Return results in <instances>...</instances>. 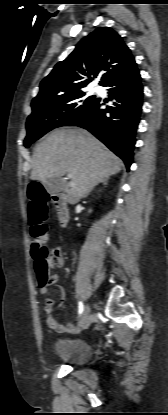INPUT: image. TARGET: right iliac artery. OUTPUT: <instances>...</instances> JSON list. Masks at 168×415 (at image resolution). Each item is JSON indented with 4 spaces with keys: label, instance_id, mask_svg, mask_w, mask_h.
Masks as SVG:
<instances>
[{
    "label": "right iliac artery",
    "instance_id": "1",
    "mask_svg": "<svg viewBox=\"0 0 168 415\" xmlns=\"http://www.w3.org/2000/svg\"><path fill=\"white\" fill-rule=\"evenodd\" d=\"M83 311H84V305H83V303L80 301V302H79V309H78V313H79V315H81V314L83 313Z\"/></svg>",
    "mask_w": 168,
    "mask_h": 415
}]
</instances>
